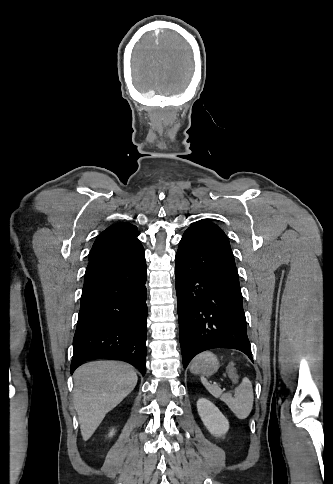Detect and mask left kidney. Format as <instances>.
Instances as JSON below:
<instances>
[{
  "instance_id": "left-kidney-1",
  "label": "left kidney",
  "mask_w": 333,
  "mask_h": 484,
  "mask_svg": "<svg viewBox=\"0 0 333 484\" xmlns=\"http://www.w3.org/2000/svg\"><path fill=\"white\" fill-rule=\"evenodd\" d=\"M197 410L205 427L214 436H222L229 430L228 420L208 399H199L197 402Z\"/></svg>"
}]
</instances>
